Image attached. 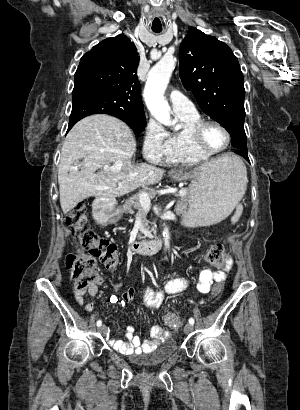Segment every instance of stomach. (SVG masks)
I'll list each match as a JSON object with an SVG mask.
<instances>
[{
    "label": "stomach",
    "mask_w": 300,
    "mask_h": 410,
    "mask_svg": "<svg viewBox=\"0 0 300 410\" xmlns=\"http://www.w3.org/2000/svg\"><path fill=\"white\" fill-rule=\"evenodd\" d=\"M233 158L217 167L198 168L174 176L190 179L188 226H210L227 218L244 194L243 176L234 167ZM114 219L113 216H110Z\"/></svg>",
    "instance_id": "obj_1"
}]
</instances>
